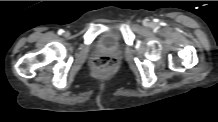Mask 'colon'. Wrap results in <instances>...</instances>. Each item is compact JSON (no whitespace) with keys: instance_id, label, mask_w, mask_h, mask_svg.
<instances>
[{"instance_id":"1","label":"colon","mask_w":218,"mask_h":122,"mask_svg":"<svg viewBox=\"0 0 218 122\" xmlns=\"http://www.w3.org/2000/svg\"><path fill=\"white\" fill-rule=\"evenodd\" d=\"M117 61L111 56L97 57L92 65V71L95 75L104 76L112 73L116 69Z\"/></svg>"}]
</instances>
